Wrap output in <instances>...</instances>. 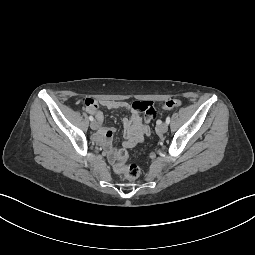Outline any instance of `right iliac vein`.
Masks as SVG:
<instances>
[{
  "label": "right iliac vein",
  "instance_id": "right-iliac-vein-1",
  "mask_svg": "<svg viewBox=\"0 0 255 255\" xmlns=\"http://www.w3.org/2000/svg\"><path fill=\"white\" fill-rule=\"evenodd\" d=\"M98 122L97 121H92L91 124H90V127L93 129V130H96L98 129Z\"/></svg>",
  "mask_w": 255,
  "mask_h": 255
}]
</instances>
